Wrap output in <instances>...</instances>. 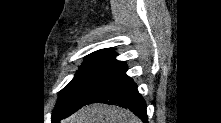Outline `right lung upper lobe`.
Returning a JSON list of instances; mask_svg holds the SVG:
<instances>
[{
	"instance_id": "right-lung-upper-lobe-1",
	"label": "right lung upper lobe",
	"mask_w": 221,
	"mask_h": 123,
	"mask_svg": "<svg viewBox=\"0 0 221 123\" xmlns=\"http://www.w3.org/2000/svg\"><path fill=\"white\" fill-rule=\"evenodd\" d=\"M99 51L110 52V53H114L115 54V52L112 49H110V48L102 49V50H99Z\"/></svg>"
}]
</instances>
